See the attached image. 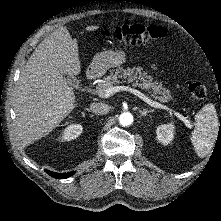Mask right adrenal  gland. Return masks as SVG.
Here are the masks:
<instances>
[{"label": "right adrenal gland", "instance_id": "obj_1", "mask_svg": "<svg viewBox=\"0 0 221 221\" xmlns=\"http://www.w3.org/2000/svg\"><path fill=\"white\" fill-rule=\"evenodd\" d=\"M85 110H87L88 112H90V109H88V108H85Z\"/></svg>", "mask_w": 221, "mask_h": 221}]
</instances>
